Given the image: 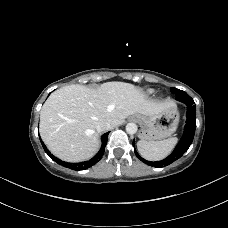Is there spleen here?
Returning a JSON list of instances; mask_svg holds the SVG:
<instances>
[{
  "mask_svg": "<svg viewBox=\"0 0 228 228\" xmlns=\"http://www.w3.org/2000/svg\"><path fill=\"white\" fill-rule=\"evenodd\" d=\"M178 138H168L161 141L140 140L137 143L139 153L147 160L158 161L168 156L175 147Z\"/></svg>",
  "mask_w": 228,
  "mask_h": 228,
  "instance_id": "obj_1",
  "label": "spleen"
}]
</instances>
